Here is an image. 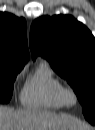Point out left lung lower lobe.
<instances>
[{"label": "left lung lower lobe", "mask_w": 95, "mask_h": 130, "mask_svg": "<svg viewBox=\"0 0 95 130\" xmlns=\"http://www.w3.org/2000/svg\"><path fill=\"white\" fill-rule=\"evenodd\" d=\"M90 123H92V124H95V121H89Z\"/></svg>", "instance_id": "obj_1"}]
</instances>
